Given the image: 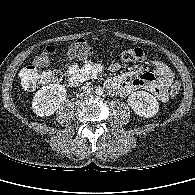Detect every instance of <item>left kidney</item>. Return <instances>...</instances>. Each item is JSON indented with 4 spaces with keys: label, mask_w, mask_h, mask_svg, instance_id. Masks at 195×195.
Listing matches in <instances>:
<instances>
[{
    "label": "left kidney",
    "mask_w": 195,
    "mask_h": 195,
    "mask_svg": "<svg viewBox=\"0 0 195 195\" xmlns=\"http://www.w3.org/2000/svg\"><path fill=\"white\" fill-rule=\"evenodd\" d=\"M128 105L141 117H154L159 111L157 99L148 92L136 91L128 97Z\"/></svg>",
    "instance_id": "1"
}]
</instances>
